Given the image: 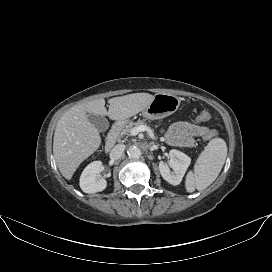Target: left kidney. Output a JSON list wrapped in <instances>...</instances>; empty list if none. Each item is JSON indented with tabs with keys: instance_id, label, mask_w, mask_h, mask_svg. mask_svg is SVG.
I'll list each match as a JSON object with an SVG mask.
<instances>
[{
	"instance_id": "left-kidney-1",
	"label": "left kidney",
	"mask_w": 272,
	"mask_h": 272,
	"mask_svg": "<svg viewBox=\"0 0 272 272\" xmlns=\"http://www.w3.org/2000/svg\"><path fill=\"white\" fill-rule=\"evenodd\" d=\"M169 157L168 165L163 161L159 162V170L164 180L172 185H178L182 181L191 163V158L185 153L175 149L169 152Z\"/></svg>"
}]
</instances>
